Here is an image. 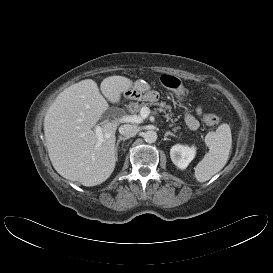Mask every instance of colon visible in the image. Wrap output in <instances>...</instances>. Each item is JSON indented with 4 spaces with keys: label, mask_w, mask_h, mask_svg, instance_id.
Wrapping results in <instances>:
<instances>
[{
    "label": "colon",
    "mask_w": 273,
    "mask_h": 273,
    "mask_svg": "<svg viewBox=\"0 0 273 273\" xmlns=\"http://www.w3.org/2000/svg\"><path fill=\"white\" fill-rule=\"evenodd\" d=\"M161 82L167 89L174 92L178 97L183 98L185 96V87L177 77L172 75H163L161 77ZM203 120L206 124L211 126L217 125L220 121L219 117L214 114H206Z\"/></svg>",
    "instance_id": "5ec220e1"
}]
</instances>
